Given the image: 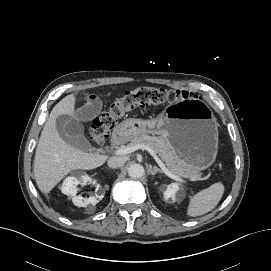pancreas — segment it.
<instances>
[{"label":"pancreas","mask_w":271,"mask_h":271,"mask_svg":"<svg viewBox=\"0 0 271 271\" xmlns=\"http://www.w3.org/2000/svg\"><path fill=\"white\" fill-rule=\"evenodd\" d=\"M138 144H144L150 146L165 162L168 170L179 177H198L199 171L193 169L189 164L182 161L175 153L172 146L160 136H150L148 134H142L135 137L129 143V147Z\"/></svg>","instance_id":"cf45deb5"}]
</instances>
